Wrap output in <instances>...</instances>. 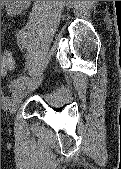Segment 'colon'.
I'll return each mask as SVG.
<instances>
[{
	"mask_svg": "<svg viewBox=\"0 0 121 169\" xmlns=\"http://www.w3.org/2000/svg\"><path fill=\"white\" fill-rule=\"evenodd\" d=\"M14 66V57L11 51L5 50L1 55V72L5 73Z\"/></svg>",
	"mask_w": 121,
	"mask_h": 169,
	"instance_id": "colon-1",
	"label": "colon"
}]
</instances>
